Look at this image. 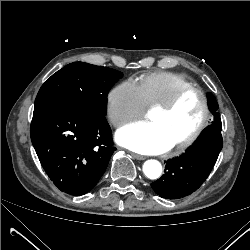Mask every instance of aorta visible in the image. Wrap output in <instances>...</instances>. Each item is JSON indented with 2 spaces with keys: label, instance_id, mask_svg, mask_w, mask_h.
<instances>
[{
  "label": "aorta",
  "instance_id": "aorta-1",
  "mask_svg": "<svg viewBox=\"0 0 250 250\" xmlns=\"http://www.w3.org/2000/svg\"><path fill=\"white\" fill-rule=\"evenodd\" d=\"M143 172L149 179H157L162 173V166L157 160H148L143 165Z\"/></svg>",
  "mask_w": 250,
  "mask_h": 250
}]
</instances>
